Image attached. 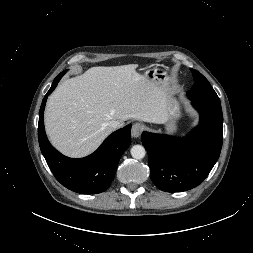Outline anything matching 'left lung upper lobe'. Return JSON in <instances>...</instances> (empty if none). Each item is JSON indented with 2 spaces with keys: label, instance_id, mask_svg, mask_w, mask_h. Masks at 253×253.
<instances>
[{
  "label": "left lung upper lobe",
  "instance_id": "left-lung-upper-lobe-1",
  "mask_svg": "<svg viewBox=\"0 0 253 253\" xmlns=\"http://www.w3.org/2000/svg\"><path fill=\"white\" fill-rule=\"evenodd\" d=\"M195 84L191 90L187 91V95L190 99L195 100H207L220 102L216 92L208 82V80L198 71L191 69Z\"/></svg>",
  "mask_w": 253,
  "mask_h": 253
}]
</instances>
